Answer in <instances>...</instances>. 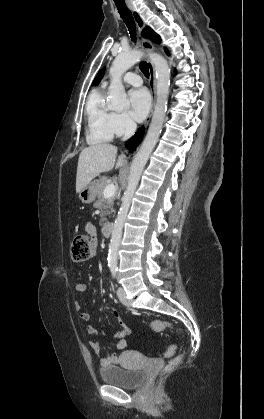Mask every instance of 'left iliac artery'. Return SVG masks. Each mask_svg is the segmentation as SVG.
<instances>
[{"label":"left iliac artery","mask_w":264,"mask_h":419,"mask_svg":"<svg viewBox=\"0 0 264 419\" xmlns=\"http://www.w3.org/2000/svg\"><path fill=\"white\" fill-rule=\"evenodd\" d=\"M111 271H112V275L115 276L117 272V268L113 267L111 268Z\"/></svg>","instance_id":"obj_1"}]
</instances>
